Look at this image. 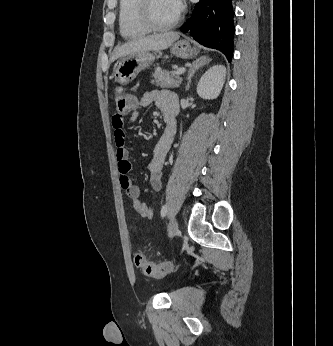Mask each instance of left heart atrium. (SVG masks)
Returning a JSON list of instances; mask_svg holds the SVG:
<instances>
[{
	"instance_id": "1",
	"label": "left heart atrium",
	"mask_w": 333,
	"mask_h": 346,
	"mask_svg": "<svg viewBox=\"0 0 333 346\" xmlns=\"http://www.w3.org/2000/svg\"><path fill=\"white\" fill-rule=\"evenodd\" d=\"M170 1L172 2L173 6H174L177 10H180L182 0H170Z\"/></svg>"
}]
</instances>
